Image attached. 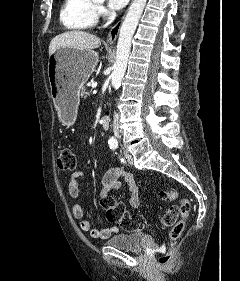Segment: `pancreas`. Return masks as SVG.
<instances>
[{"mask_svg":"<svg viewBox=\"0 0 240 281\" xmlns=\"http://www.w3.org/2000/svg\"><path fill=\"white\" fill-rule=\"evenodd\" d=\"M81 96L82 97H87V96H89V92H88V90H87V88H85V87H83L82 88V90H81Z\"/></svg>","mask_w":240,"mask_h":281,"instance_id":"obj_1","label":"pancreas"}]
</instances>
